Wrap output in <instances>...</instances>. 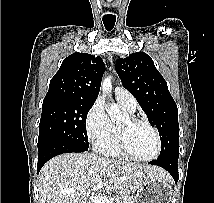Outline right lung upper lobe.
Wrapping results in <instances>:
<instances>
[{
	"label": "right lung upper lobe",
	"instance_id": "cb5924a9",
	"mask_svg": "<svg viewBox=\"0 0 214 203\" xmlns=\"http://www.w3.org/2000/svg\"><path fill=\"white\" fill-rule=\"evenodd\" d=\"M105 64L100 57L73 53L65 58L50 81L44 98L95 102L101 85Z\"/></svg>",
	"mask_w": 214,
	"mask_h": 203
}]
</instances>
